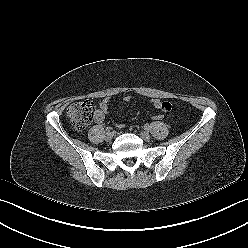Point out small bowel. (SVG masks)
<instances>
[{
    "label": "small bowel",
    "mask_w": 248,
    "mask_h": 248,
    "mask_svg": "<svg viewBox=\"0 0 248 248\" xmlns=\"http://www.w3.org/2000/svg\"><path fill=\"white\" fill-rule=\"evenodd\" d=\"M131 99L130 96H124L123 101L124 102H129ZM109 104H110V98L106 97L104 98L100 104L99 107L96 109L95 114H94V120L96 123H102L105 119L106 114L108 113L109 110ZM152 105L156 108L162 111L165 115H169L171 112V104L169 102L165 101H160V100H152ZM118 128H122V124H117Z\"/></svg>",
    "instance_id": "1"
}]
</instances>
